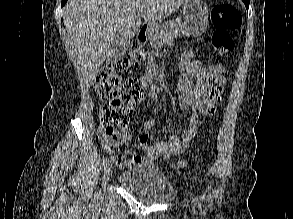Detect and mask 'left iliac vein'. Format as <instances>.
I'll use <instances>...</instances> for the list:
<instances>
[{"instance_id": "1", "label": "left iliac vein", "mask_w": 293, "mask_h": 219, "mask_svg": "<svg viewBox=\"0 0 293 219\" xmlns=\"http://www.w3.org/2000/svg\"><path fill=\"white\" fill-rule=\"evenodd\" d=\"M192 210H193V212H195V207L194 206L192 207Z\"/></svg>"}]
</instances>
